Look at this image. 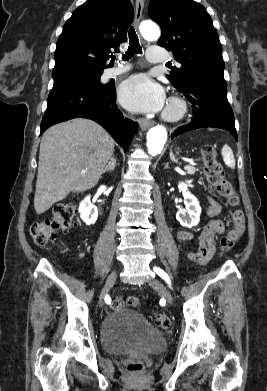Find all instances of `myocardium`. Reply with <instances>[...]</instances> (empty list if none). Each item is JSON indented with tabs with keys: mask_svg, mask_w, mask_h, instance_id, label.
Here are the masks:
<instances>
[{
	"mask_svg": "<svg viewBox=\"0 0 267 391\" xmlns=\"http://www.w3.org/2000/svg\"><path fill=\"white\" fill-rule=\"evenodd\" d=\"M187 113L186 102L180 97H171L163 112V118L169 122H177L185 117Z\"/></svg>",
	"mask_w": 267,
	"mask_h": 391,
	"instance_id": "1",
	"label": "myocardium"
}]
</instances>
